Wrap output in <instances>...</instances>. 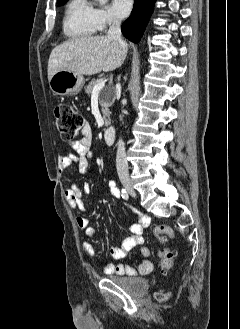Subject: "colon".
<instances>
[{"label": "colon", "mask_w": 240, "mask_h": 329, "mask_svg": "<svg viewBox=\"0 0 240 329\" xmlns=\"http://www.w3.org/2000/svg\"><path fill=\"white\" fill-rule=\"evenodd\" d=\"M55 119L60 136L71 142L83 127V117L74 107L68 104H60L55 108ZM154 236L162 243H166L173 236V231L166 225H158L153 229ZM160 266L162 270L170 268L175 260L174 251L167 247L159 251ZM166 294L158 293V299H164Z\"/></svg>", "instance_id": "colon-1"}]
</instances>
